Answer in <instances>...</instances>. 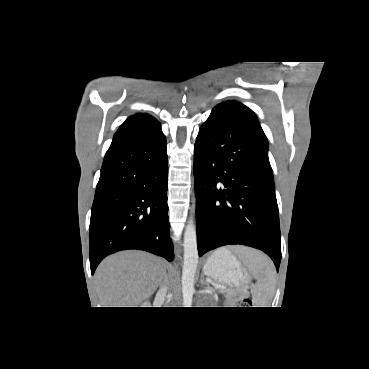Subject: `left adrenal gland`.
Instances as JSON below:
<instances>
[{
  "label": "left adrenal gland",
  "mask_w": 369,
  "mask_h": 369,
  "mask_svg": "<svg viewBox=\"0 0 369 369\" xmlns=\"http://www.w3.org/2000/svg\"><path fill=\"white\" fill-rule=\"evenodd\" d=\"M201 283L203 285H206L207 287H209V284L204 280V275L203 274L201 275Z\"/></svg>",
  "instance_id": "obj_1"
}]
</instances>
